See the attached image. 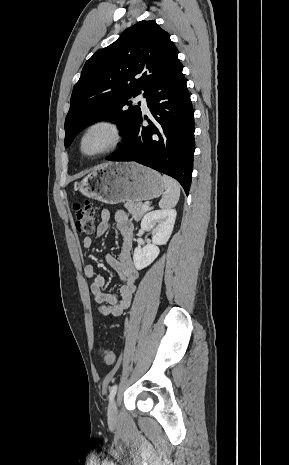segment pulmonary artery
<instances>
[{
    "instance_id": "obj_1",
    "label": "pulmonary artery",
    "mask_w": 289,
    "mask_h": 465,
    "mask_svg": "<svg viewBox=\"0 0 289 465\" xmlns=\"http://www.w3.org/2000/svg\"><path fill=\"white\" fill-rule=\"evenodd\" d=\"M135 99L141 103V106L144 110H148L147 99L144 97L143 93H140Z\"/></svg>"
}]
</instances>
